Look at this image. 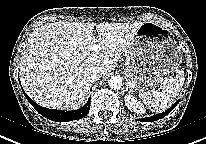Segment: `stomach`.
Wrapping results in <instances>:
<instances>
[{
	"instance_id": "1",
	"label": "stomach",
	"mask_w": 206,
	"mask_h": 144,
	"mask_svg": "<svg viewBox=\"0 0 206 144\" xmlns=\"http://www.w3.org/2000/svg\"><path fill=\"white\" fill-rule=\"evenodd\" d=\"M129 79L133 89L144 92L161 86L178 72L180 49L169 29L154 22H144L127 51Z\"/></svg>"
}]
</instances>
